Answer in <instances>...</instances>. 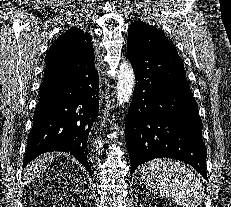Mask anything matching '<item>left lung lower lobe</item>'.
Instances as JSON below:
<instances>
[{
  "label": "left lung lower lobe",
  "instance_id": "left-lung-lower-lobe-1",
  "mask_svg": "<svg viewBox=\"0 0 231 207\" xmlns=\"http://www.w3.org/2000/svg\"><path fill=\"white\" fill-rule=\"evenodd\" d=\"M127 57L137 81L125 125L131 174L144 162L167 157L208 180L198 105L177 51L127 47Z\"/></svg>",
  "mask_w": 231,
  "mask_h": 207
}]
</instances>
